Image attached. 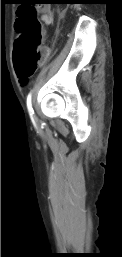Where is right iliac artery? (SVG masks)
<instances>
[{
	"instance_id": "1",
	"label": "right iliac artery",
	"mask_w": 122,
	"mask_h": 257,
	"mask_svg": "<svg viewBox=\"0 0 122 257\" xmlns=\"http://www.w3.org/2000/svg\"><path fill=\"white\" fill-rule=\"evenodd\" d=\"M27 108H28L31 120L34 122V110L32 108L31 93L27 96Z\"/></svg>"
}]
</instances>
